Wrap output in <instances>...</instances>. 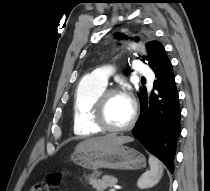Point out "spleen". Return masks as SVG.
<instances>
[{
	"label": "spleen",
	"mask_w": 210,
	"mask_h": 191,
	"mask_svg": "<svg viewBox=\"0 0 210 191\" xmlns=\"http://www.w3.org/2000/svg\"><path fill=\"white\" fill-rule=\"evenodd\" d=\"M150 170L143 173L137 181L140 189H146L156 185L163 175V168L160 161L154 157H149Z\"/></svg>",
	"instance_id": "3e777b00"
}]
</instances>
